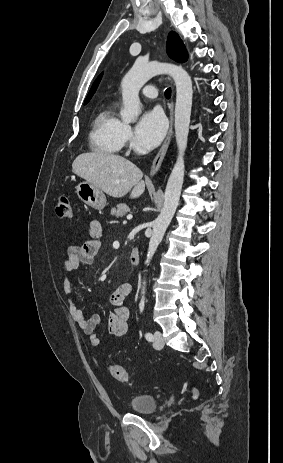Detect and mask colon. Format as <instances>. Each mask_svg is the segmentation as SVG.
Returning <instances> with one entry per match:
<instances>
[{
  "label": "colon",
  "mask_w": 283,
  "mask_h": 463,
  "mask_svg": "<svg viewBox=\"0 0 283 463\" xmlns=\"http://www.w3.org/2000/svg\"><path fill=\"white\" fill-rule=\"evenodd\" d=\"M56 215L60 220H71L73 218V208L71 199L68 196L62 195L58 198L56 206ZM111 376L122 383H129L130 377L127 371L118 364H112L109 368ZM190 394L193 399L198 398V390L194 387L190 388Z\"/></svg>",
  "instance_id": "obj_1"
}]
</instances>
